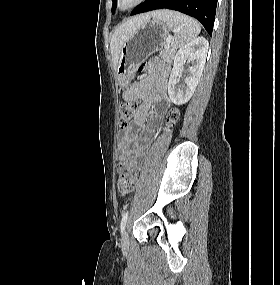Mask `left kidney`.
I'll return each instance as SVG.
<instances>
[{"mask_svg":"<svg viewBox=\"0 0 280 285\" xmlns=\"http://www.w3.org/2000/svg\"><path fill=\"white\" fill-rule=\"evenodd\" d=\"M208 47V41L203 37H199L178 50L168 82V95L174 104H185L192 97L202 75ZM186 61L192 63V65L187 68L188 75L184 80L185 85L177 87Z\"/></svg>","mask_w":280,"mask_h":285,"instance_id":"obj_1","label":"left kidney"}]
</instances>
